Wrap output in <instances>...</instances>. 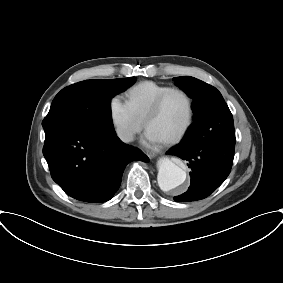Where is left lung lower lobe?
<instances>
[{
    "mask_svg": "<svg viewBox=\"0 0 283 283\" xmlns=\"http://www.w3.org/2000/svg\"><path fill=\"white\" fill-rule=\"evenodd\" d=\"M223 104H216L221 109ZM206 118L200 117L188 129L183 140L167 153L186 160L191 168L188 191L174 197L175 201H196L209 196L230 173L234 148L210 144L204 136Z\"/></svg>",
    "mask_w": 283,
    "mask_h": 283,
    "instance_id": "0a47b994",
    "label": "left lung lower lobe"
}]
</instances>
